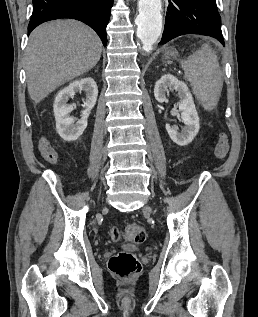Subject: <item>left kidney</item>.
Here are the masks:
<instances>
[{
  "label": "left kidney",
  "mask_w": 258,
  "mask_h": 317,
  "mask_svg": "<svg viewBox=\"0 0 258 317\" xmlns=\"http://www.w3.org/2000/svg\"><path fill=\"white\" fill-rule=\"evenodd\" d=\"M169 88H174L179 94V110H181V118L185 126L181 132L174 130L170 124H165V128L173 142L180 144V146H186V144L192 142L200 128L198 112L187 84L183 80H178L174 74H169V72L163 74L155 84L154 96L158 102L166 100V92Z\"/></svg>",
  "instance_id": "5707ae66"
}]
</instances>
